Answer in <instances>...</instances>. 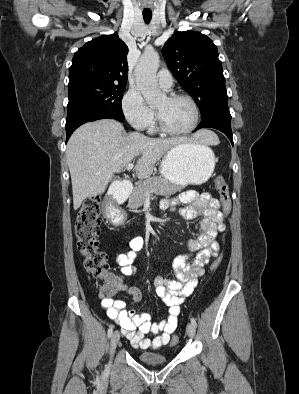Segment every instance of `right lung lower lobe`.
Returning <instances> with one entry per match:
<instances>
[{
  "label": "right lung lower lobe",
  "instance_id": "obj_1",
  "mask_svg": "<svg viewBox=\"0 0 299 394\" xmlns=\"http://www.w3.org/2000/svg\"><path fill=\"white\" fill-rule=\"evenodd\" d=\"M67 110H68V115L65 125L66 142L68 141L69 137L74 132V130L86 122L105 119V118L115 119L118 121H123L125 119L124 115L119 116L110 112L109 110L94 107V106H78V107L67 108Z\"/></svg>",
  "mask_w": 299,
  "mask_h": 394
}]
</instances>
